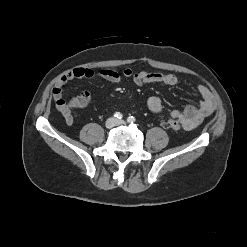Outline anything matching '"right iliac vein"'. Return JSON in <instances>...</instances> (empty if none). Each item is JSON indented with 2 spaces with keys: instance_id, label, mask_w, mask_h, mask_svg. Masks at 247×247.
<instances>
[{
  "instance_id": "right-iliac-vein-1",
  "label": "right iliac vein",
  "mask_w": 247,
  "mask_h": 247,
  "mask_svg": "<svg viewBox=\"0 0 247 247\" xmlns=\"http://www.w3.org/2000/svg\"><path fill=\"white\" fill-rule=\"evenodd\" d=\"M116 125V120L114 118H109L106 122H105V126L106 128L110 129L112 127H114Z\"/></svg>"
}]
</instances>
